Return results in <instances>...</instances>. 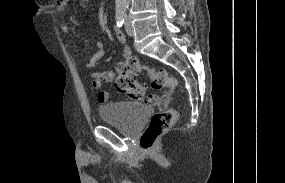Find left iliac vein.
Returning <instances> with one entry per match:
<instances>
[{"instance_id":"4c4485c4","label":"left iliac vein","mask_w":285,"mask_h":183,"mask_svg":"<svg viewBox=\"0 0 285 183\" xmlns=\"http://www.w3.org/2000/svg\"><path fill=\"white\" fill-rule=\"evenodd\" d=\"M125 29H126V32L129 36H133V34H134L133 27H132L130 20L128 19L127 16L125 17Z\"/></svg>"}]
</instances>
